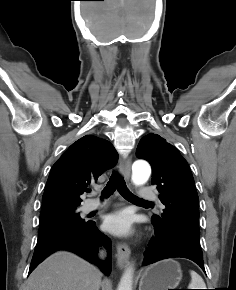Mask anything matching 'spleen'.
Wrapping results in <instances>:
<instances>
[{
	"label": "spleen",
	"mask_w": 236,
	"mask_h": 290,
	"mask_svg": "<svg viewBox=\"0 0 236 290\" xmlns=\"http://www.w3.org/2000/svg\"><path fill=\"white\" fill-rule=\"evenodd\" d=\"M191 282L189 284V289H206V285L202 277L195 271H190Z\"/></svg>",
	"instance_id": "obj_1"
}]
</instances>
